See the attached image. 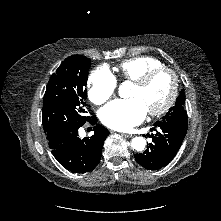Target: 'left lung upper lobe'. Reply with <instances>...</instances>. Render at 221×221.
<instances>
[{"label":"left lung upper lobe","instance_id":"obj_1","mask_svg":"<svg viewBox=\"0 0 221 221\" xmlns=\"http://www.w3.org/2000/svg\"><path fill=\"white\" fill-rule=\"evenodd\" d=\"M184 103L185 95L184 92L181 91L175 105L169 109L166 115L162 117L161 121L177 124L187 130V112Z\"/></svg>","mask_w":221,"mask_h":221}]
</instances>
